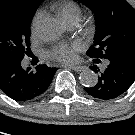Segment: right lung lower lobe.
I'll return each instance as SVG.
<instances>
[{
  "label": "right lung lower lobe",
  "mask_w": 135,
  "mask_h": 135,
  "mask_svg": "<svg viewBox=\"0 0 135 135\" xmlns=\"http://www.w3.org/2000/svg\"><path fill=\"white\" fill-rule=\"evenodd\" d=\"M56 70L46 65L24 69L22 59L0 53V90L15 101L36 99L46 92Z\"/></svg>",
  "instance_id": "98d812e1"
}]
</instances>
